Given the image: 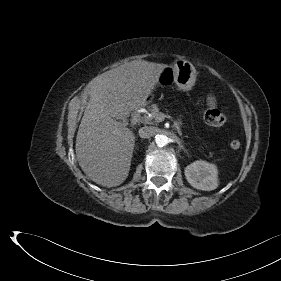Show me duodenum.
<instances>
[{"label": "duodenum", "instance_id": "duodenum-1", "mask_svg": "<svg viewBox=\"0 0 281 281\" xmlns=\"http://www.w3.org/2000/svg\"><path fill=\"white\" fill-rule=\"evenodd\" d=\"M137 119H138V115H137L136 113H132V115H131V121H132L133 123H135V122L137 121Z\"/></svg>", "mask_w": 281, "mask_h": 281}]
</instances>
